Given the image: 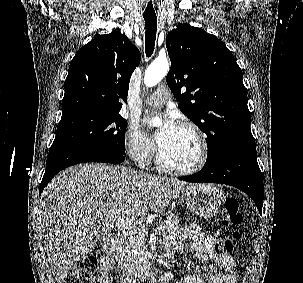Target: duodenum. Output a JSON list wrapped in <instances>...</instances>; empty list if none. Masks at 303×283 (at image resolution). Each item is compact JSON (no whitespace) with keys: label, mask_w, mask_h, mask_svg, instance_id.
<instances>
[{"label":"duodenum","mask_w":303,"mask_h":283,"mask_svg":"<svg viewBox=\"0 0 303 283\" xmlns=\"http://www.w3.org/2000/svg\"><path fill=\"white\" fill-rule=\"evenodd\" d=\"M106 249L111 251L114 249L115 247V243H114V235L111 234L109 236V240L106 244ZM157 272L160 271L159 266L157 265H152L150 263H141L137 266H135L132 269H129L127 271V278H128V282L129 283H135L137 282V280H141L145 277H147L149 274H151L152 272Z\"/></svg>","instance_id":"obj_1"}]
</instances>
